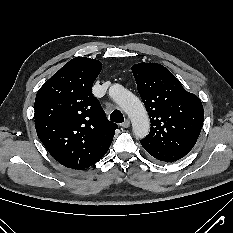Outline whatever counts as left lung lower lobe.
Listing matches in <instances>:
<instances>
[{"label":"left lung lower lobe","instance_id":"0a47b994","mask_svg":"<svg viewBox=\"0 0 233 233\" xmlns=\"http://www.w3.org/2000/svg\"><path fill=\"white\" fill-rule=\"evenodd\" d=\"M144 149L154 158L164 161V162H174L183 158L186 154L167 150L153 144H150L146 141H140Z\"/></svg>","mask_w":233,"mask_h":233}]
</instances>
